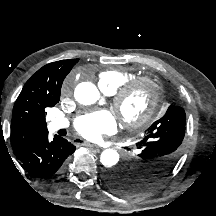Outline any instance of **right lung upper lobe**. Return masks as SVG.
Returning <instances> with one entry per match:
<instances>
[{"mask_svg": "<svg viewBox=\"0 0 216 216\" xmlns=\"http://www.w3.org/2000/svg\"><path fill=\"white\" fill-rule=\"evenodd\" d=\"M77 62L78 59H69L49 63L26 82L12 114L11 143L15 155L47 132L45 110L59 102L63 80Z\"/></svg>", "mask_w": 216, "mask_h": 216, "instance_id": "obj_1", "label": "right lung upper lobe"}]
</instances>
